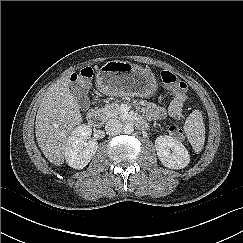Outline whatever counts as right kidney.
Returning a JSON list of instances; mask_svg holds the SVG:
<instances>
[{
    "label": "right kidney",
    "mask_w": 243,
    "mask_h": 243,
    "mask_svg": "<svg viewBox=\"0 0 243 243\" xmlns=\"http://www.w3.org/2000/svg\"><path fill=\"white\" fill-rule=\"evenodd\" d=\"M92 129L87 125L74 128L67 138L64 155L66 163L74 169H83L98 149L96 140L89 139Z\"/></svg>",
    "instance_id": "obj_1"
}]
</instances>
